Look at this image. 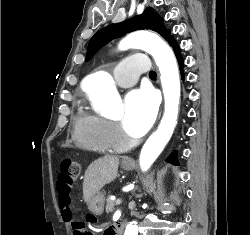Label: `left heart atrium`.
Instances as JSON below:
<instances>
[{
	"label": "left heart atrium",
	"mask_w": 250,
	"mask_h": 235,
	"mask_svg": "<svg viewBox=\"0 0 250 235\" xmlns=\"http://www.w3.org/2000/svg\"><path fill=\"white\" fill-rule=\"evenodd\" d=\"M123 127L133 137L143 136L153 124L157 112L154 93L147 88L129 92L124 101Z\"/></svg>",
	"instance_id": "obj_1"
}]
</instances>
